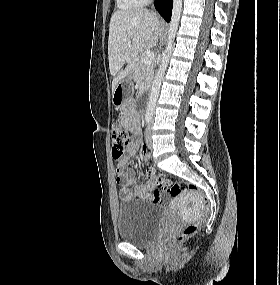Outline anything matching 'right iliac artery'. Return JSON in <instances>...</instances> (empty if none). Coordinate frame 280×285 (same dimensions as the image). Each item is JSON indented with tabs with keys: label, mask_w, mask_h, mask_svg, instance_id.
<instances>
[{
	"label": "right iliac artery",
	"mask_w": 280,
	"mask_h": 285,
	"mask_svg": "<svg viewBox=\"0 0 280 285\" xmlns=\"http://www.w3.org/2000/svg\"><path fill=\"white\" fill-rule=\"evenodd\" d=\"M151 121V118L150 117H146V124H149Z\"/></svg>",
	"instance_id": "obj_1"
}]
</instances>
